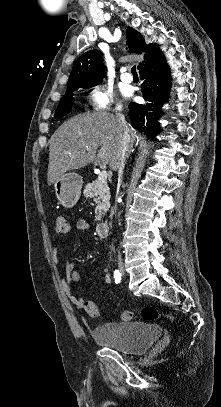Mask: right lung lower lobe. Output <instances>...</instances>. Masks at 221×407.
<instances>
[{"label": "right lung lower lobe", "instance_id": "right-lung-lower-lobe-1", "mask_svg": "<svg viewBox=\"0 0 221 407\" xmlns=\"http://www.w3.org/2000/svg\"><path fill=\"white\" fill-rule=\"evenodd\" d=\"M143 82V98L146 104H129L131 124L151 139L161 131L158 123L163 112L161 107L167 102L170 88V72L160 49L148 62L138 69Z\"/></svg>", "mask_w": 221, "mask_h": 407}]
</instances>
